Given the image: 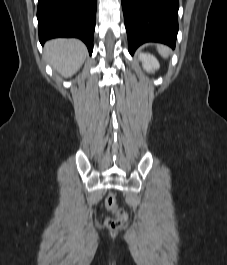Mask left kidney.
Returning <instances> with one entry per match:
<instances>
[{
    "label": "left kidney",
    "mask_w": 227,
    "mask_h": 265,
    "mask_svg": "<svg viewBox=\"0 0 227 265\" xmlns=\"http://www.w3.org/2000/svg\"><path fill=\"white\" fill-rule=\"evenodd\" d=\"M139 58L142 61L143 68L147 72H154L160 67L158 60L151 54L141 53Z\"/></svg>",
    "instance_id": "5707ae66"
}]
</instances>
